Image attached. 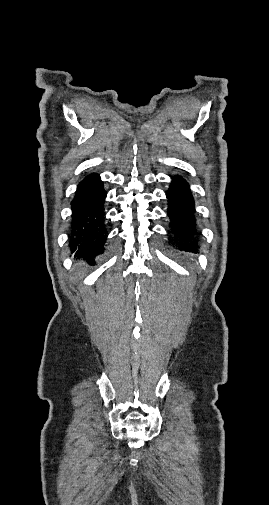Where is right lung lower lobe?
<instances>
[{
	"mask_svg": "<svg viewBox=\"0 0 269 505\" xmlns=\"http://www.w3.org/2000/svg\"><path fill=\"white\" fill-rule=\"evenodd\" d=\"M106 192L98 174H90L78 185L71 202L72 221L69 246L72 252L88 258L103 253L107 229L104 219Z\"/></svg>",
	"mask_w": 269,
	"mask_h": 505,
	"instance_id": "1",
	"label": "right lung lower lobe"
}]
</instances>
